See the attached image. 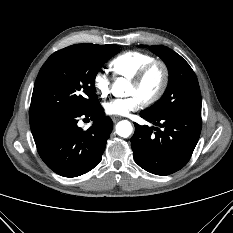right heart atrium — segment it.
<instances>
[{"instance_id": "obj_1", "label": "right heart atrium", "mask_w": 233, "mask_h": 233, "mask_svg": "<svg viewBox=\"0 0 233 233\" xmlns=\"http://www.w3.org/2000/svg\"><path fill=\"white\" fill-rule=\"evenodd\" d=\"M93 85L96 93L101 98H106L110 93L111 78L106 71H98L93 78Z\"/></svg>"}]
</instances>
